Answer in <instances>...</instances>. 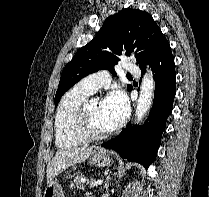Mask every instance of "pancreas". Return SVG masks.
Instances as JSON below:
<instances>
[{
    "mask_svg": "<svg viewBox=\"0 0 209 197\" xmlns=\"http://www.w3.org/2000/svg\"><path fill=\"white\" fill-rule=\"evenodd\" d=\"M84 176H76L70 184L71 189L84 190Z\"/></svg>",
    "mask_w": 209,
    "mask_h": 197,
    "instance_id": "cf45deb5",
    "label": "pancreas"
}]
</instances>
